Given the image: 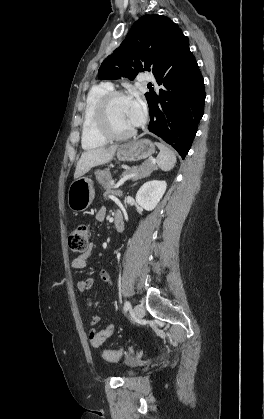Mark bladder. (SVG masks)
<instances>
[{
	"label": "bladder",
	"mask_w": 264,
	"mask_h": 419,
	"mask_svg": "<svg viewBox=\"0 0 264 419\" xmlns=\"http://www.w3.org/2000/svg\"><path fill=\"white\" fill-rule=\"evenodd\" d=\"M134 374H135V371H134V370H132V369L127 370V371L125 372V375H126V376H132V375H134Z\"/></svg>",
	"instance_id": "bladder-1"
}]
</instances>
